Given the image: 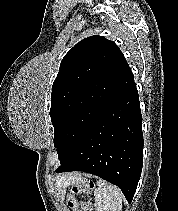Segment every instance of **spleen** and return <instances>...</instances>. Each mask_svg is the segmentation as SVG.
Segmentation results:
<instances>
[{
  "label": "spleen",
  "instance_id": "spleen-1",
  "mask_svg": "<svg viewBox=\"0 0 178 211\" xmlns=\"http://www.w3.org/2000/svg\"><path fill=\"white\" fill-rule=\"evenodd\" d=\"M97 186L94 190L96 211H122L121 190L102 180L97 181Z\"/></svg>",
  "mask_w": 178,
  "mask_h": 211
}]
</instances>
